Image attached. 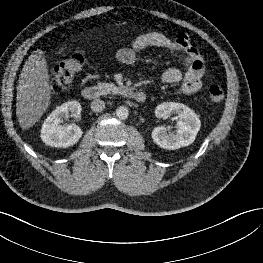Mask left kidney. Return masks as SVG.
<instances>
[{
    "label": "left kidney",
    "instance_id": "5707ae66",
    "mask_svg": "<svg viewBox=\"0 0 263 263\" xmlns=\"http://www.w3.org/2000/svg\"><path fill=\"white\" fill-rule=\"evenodd\" d=\"M158 118L167 119L175 115L177 121L176 133H167V128L159 126L152 131L153 141L161 148L176 150L192 144L200 130L201 122L197 114L181 103L165 102L155 109Z\"/></svg>",
    "mask_w": 263,
    "mask_h": 263
}]
</instances>
